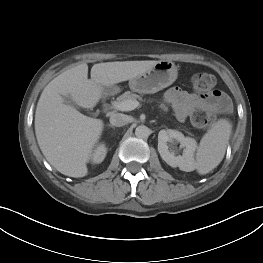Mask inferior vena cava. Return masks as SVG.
Masks as SVG:
<instances>
[{
    "label": "inferior vena cava",
    "instance_id": "inferior-vena-cava-1",
    "mask_svg": "<svg viewBox=\"0 0 263 263\" xmlns=\"http://www.w3.org/2000/svg\"><path fill=\"white\" fill-rule=\"evenodd\" d=\"M109 121L112 126L121 127L127 123V117L121 113H113Z\"/></svg>",
    "mask_w": 263,
    "mask_h": 263
}]
</instances>
